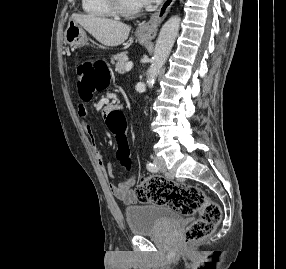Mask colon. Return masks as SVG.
<instances>
[{
	"label": "colon",
	"instance_id": "5ec220e1",
	"mask_svg": "<svg viewBox=\"0 0 286 269\" xmlns=\"http://www.w3.org/2000/svg\"><path fill=\"white\" fill-rule=\"evenodd\" d=\"M78 90L82 97L89 98L103 89L110 81L106 64L101 61H84L77 66ZM112 116H107V126H111L110 134L116 138L114 155H118L125 168H136L131 163L133 155L132 142H127V111L112 108ZM135 194L141 202H152L165 205L182 215L199 213V218L191 223L184 234L186 244L209 236L221 219L219 205L209 199L204 191L194 185L177 183L159 176H149L138 172L135 176Z\"/></svg>",
	"mask_w": 286,
	"mask_h": 269
}]
</instances>
